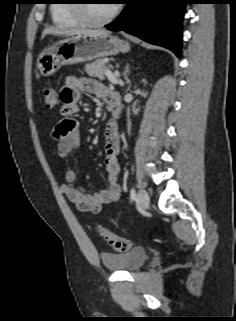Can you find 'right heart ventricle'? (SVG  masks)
<instances>
[{
  "label": "right heart ventricle",
  "instance_id": "1",
  "mask_svg": "<svg viewBox=\"0 0 236 321\" xmlns=\"http://www.w3.org/2000/svg\"><path fill=\"white\" fill-rule=\"evenodd\" d=\"M51 7V17L55 25L63 28L79 26L82 21L73 10L74 0H58Z\"/></svg>",
  "mask_w": 236,
  "mask_h": 321
}]
</instances>
